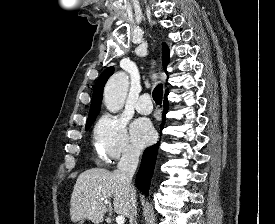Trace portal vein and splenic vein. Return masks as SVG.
I'll return each instance as SVG.
<instances>
[{"label": "portal vein and splenic vein", "mask_w": 275, "mask_h": 224, "mask_svg": "<svg viewBox=\"0 0 275 224\" xmlns=\"http://www.w3.org/2000/svg\"><path fill=\"white\" fill-rule=\"evenodd\" d=\"M104 204H106V205H110V203H109V201H104ZM116 223L117 224H124L125 223V217L124 216H122V215H119V216H117L116 217Z\"/></svg>", "instance_id": "18ae733b"}]
</instances>
